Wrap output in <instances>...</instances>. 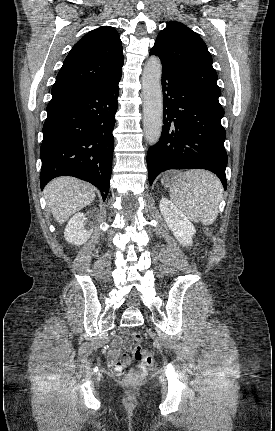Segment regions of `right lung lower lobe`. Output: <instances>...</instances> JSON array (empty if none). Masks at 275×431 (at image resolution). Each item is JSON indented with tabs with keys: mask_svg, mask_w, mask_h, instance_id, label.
Wrapping results in <instances>:
<instances>
[{
	"mask_svg": "<svg viewBox=\"0 0 275 431\" xmlns=\"http://www.w3.org/2000/svg\"><path fill=\"white\" fill-rule=\"evenodd\" d=\"M120 79L52 96L43 126L41 189L51 179L69 175L92 183L106 199Z\"/></svg>",
	"mask_w": 275,
	"mask_h": 431,
	"instance_id": "98d812e1",
	"label": "right lung lower lobe"
}]
</instances>
